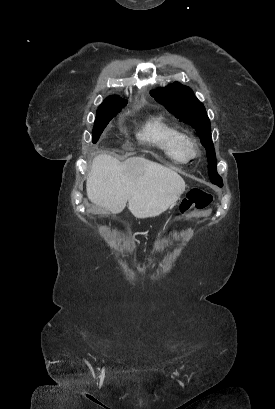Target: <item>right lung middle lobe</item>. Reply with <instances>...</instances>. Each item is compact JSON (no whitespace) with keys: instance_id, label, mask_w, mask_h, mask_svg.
I'll return each mask as SVG.
<instances>
[{"instance_id":"right-lung-middle-lobe-1","label":"right lung middle lobe","mask_w":275,"mask_h":409,"mask_svg":"<svg viewBox=\"0 0 275 409\" xmlns=\"http://www.w3.org/2000/svg\"><path fill=\"white\" fill-rule=\"evenodd\" d=\"M120 110L97 112L93 132H92L93 133V139H92L93 143H96L98 141L100 135L102 134L103 130L105 129L109 121L114 116H116L117 112H119Z\"/></svg>"}]
</instances>
